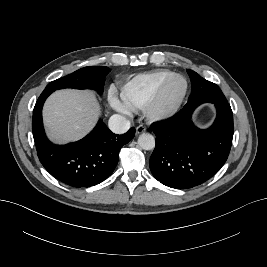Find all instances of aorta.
<instances>
[{
  "label": "aorta",
  "mask_w": 267,
  "mask_h": 267,
  "mask_svg": "<svg viewBox=\"0 0 267 267\" xmlns=\"http://www.w3.org/2000/svg\"><path fill=\"white\" fill-rule=\"evenodd\" d=\"M138 144L144 150H152L155 147V138L150 133H142L138 138Z\"/></svg>",
  "instance_id": "762f6f07"
}]
</instances>
